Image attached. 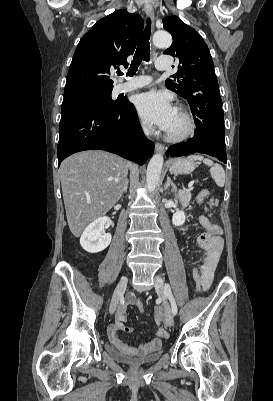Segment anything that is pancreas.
Returning <instances> with one entry per match:
<instances>
[{"mask_svg":"<svg viewBox=\"0 0 273 401\" xmlns=\"http://www.w3.org/2000/svg\"><path fill=\"white\" fill-rule=\"evenodd\" d=\"M191 196L192 194L190 190H180V192H178V198H180L183 207H187V205H189Z\"/></svg>","mask_w":273,"mask_h":401,"instance_id":"1","label":"pancreas"}]
</instances>
